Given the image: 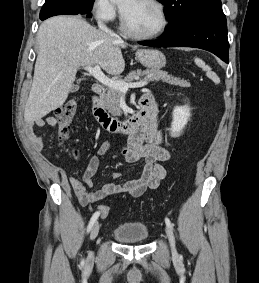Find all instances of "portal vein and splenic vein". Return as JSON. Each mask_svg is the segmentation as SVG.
I'll use <instances>...</instances> for the list:
<instances>
[{
  "mask_svg": "<svg viewBox=\"0 0 259 283\" xmlns=\"http://www.w3.org/2000/svg\"><path fill=\"white\" fill-rule=\"evenodd\" d=\"M85 70L88 71L95 79H97L103 85L109 88L117 89L124 93L127 92L129 88L143 87L148 84L147 79L135 83H126L121 80L110 79L107 76H105V74L101 71L99 65H96L95 67L86 66Z\"/></svg>",
  "mask_w": 259,
  "mask_h": 283,
  "instance_id": "portal-vein-and-splenic-vein-1",
  "label": "portal vein and splenic vein"
}]
</instances>
